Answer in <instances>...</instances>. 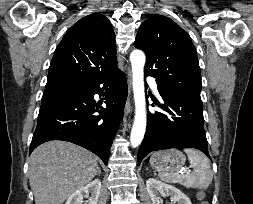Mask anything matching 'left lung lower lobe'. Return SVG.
<instances>
[{
    "instance_id": "1",
    "label": "left lung lower lobe",
    "mask_w": 253,
    "mask_h": 204,
    "mask_svg": "<svg viewBox=\"0 0 253 204\" xmlns=\"http://www.w3.org/2000/svg\"><path fill=\"white\" fill-rule=\"evenodd\" d=\"M159 93L164 101L159 107L165 113L148 112L147 130L137 155L138 164L152 151L177 147L196 148L210 158L200 96Z\"/></svg>"
}]
</instances>
